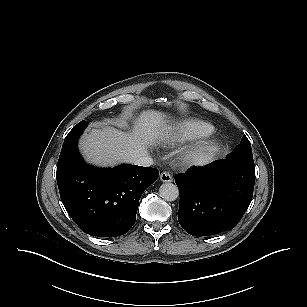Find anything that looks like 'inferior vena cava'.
Masks as SVG:
<instances>
[{"label":"inferior vena cava","instance_id":"602c4592","mask_svg":"<svg viewBox=\"0 0 307 307\" xmlns=\"http://www.w3.org/2000/svg\"><path fill=\"white\" fill-rule=\"evenodd\" d=\"M132 163L138 166L149 167L153 165L154 161L149 155L140 156L132 160Z\"/></svg>","mask_w":307,"mask_h":307}]
</instances>
